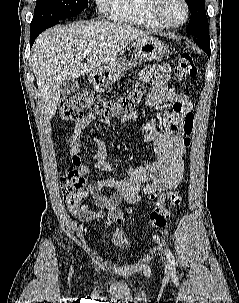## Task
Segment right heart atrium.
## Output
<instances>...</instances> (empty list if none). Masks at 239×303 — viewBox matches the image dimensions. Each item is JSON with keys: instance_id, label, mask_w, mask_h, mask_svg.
<instances>
[{"instance_id": "1", "label": "right heart atrium", "mask_w": 239, "mask_h": 303, "mask_svg": "<svg viewBox=\"0 0 239 303\" xmlns=\"http://www.w3.org/2000/svg\"><path fill=\"white\" fill-rule=\"evenodd\" d=\"M112 1L113 0H95V3L99 11L107 13L111 9Z\"/></svg>"}]
</instances>
